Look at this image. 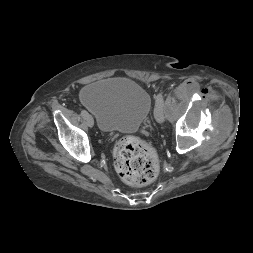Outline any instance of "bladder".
<instances>
[{"mask_svg": "<svg viewBox=\"0 0 253 253\" xmlns=\"http://www.w3.org/2000/svg\"><path fill=\"white\" fill-rule=\"evenodd\" d=\"M81 102L95 114L104 132H134L152 105L148 91L127 78H110L85 86Z\"/></svg>", "mask_w": 253, "mask_h": 253, "instance_id": "1", "label": "bladder"}]
</instances>
